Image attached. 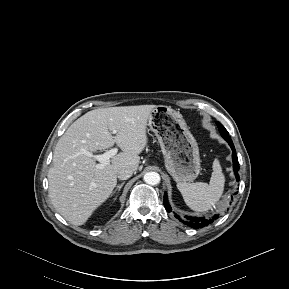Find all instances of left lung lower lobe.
Returning a JSON list of instances; mask_svg holds the SVG:
<instances>
[{
	"label": "left lung lower lobe",
	"instance_id": "obj_1",
	"mask_svg": "<svg viewBox=\"0 0 289 289\" xmlns=\"http://www.w3.org/2000/svg\"><path fill=\"white\" fill-rule=\"evenodd\" d=\"M223 138L228 142V144L230 145V147L233 151V153H232L233 169L235 172L236 180L239 181L240 180L239 174H238L239 162H238V158L236 156L235 147L233 145V142H232L230 136L223 137ZM163 202H164V206H165V209L167 210V212H171L172 208L168 202L167 194H165ZM174 215L176 218L179 219V221H181L182 223H184V224H186V225H188L194 229L205 227V226L211 224L214 220L219 218V216H217V215H214V217L212 219H205L204 217H191V216H185L184 218H181L176 213H174Z\"/></svg>",
	"mask_w": 289,
	"mask_h": 289
}]
</instances>
